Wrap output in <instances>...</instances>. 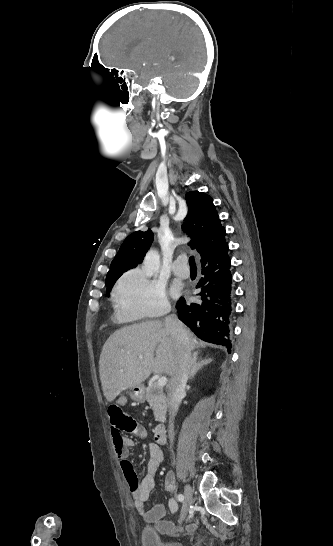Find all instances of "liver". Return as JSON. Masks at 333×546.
<instances>
[{"label":"liver","mask_w":333,"mask_h":546,"mask_svg":"<svg viewBox=\"0 0 333 546\" xmlns=\"http://www.w3.org/2000/svg\"><path fill=\"white\" fill-rule=\"evenodd\" d=\"M187 333L193 350L196 341ZM176 365V342L162 322L146 321L119 329L107 339L100 355L104 396L111 402L122 391L141 385L152 373L172 376Z\"/></svg>","instance_id":"6515ba94"}]
</instances>
